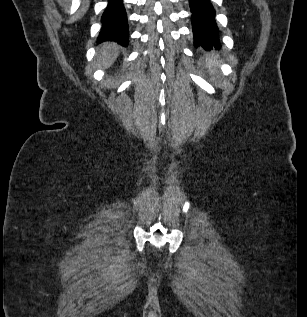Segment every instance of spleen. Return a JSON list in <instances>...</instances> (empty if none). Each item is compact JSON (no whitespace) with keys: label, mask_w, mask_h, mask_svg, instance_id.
Here are the masks:
<instances>
[{"label":"spleen","mask_w":307,"mask_h":317,"mask_svg":"<svg viewBox=\"0 0 307 317\" xmlns=\"http://www.w3.org/2000/svg\"><path fill=\"white\" fill-rule=\"evenodd\" d=\"M217 64L218 62L216 55H211L207 57V67L211 73H215Z\"/></svg>","instance_id":"obj_1"}]
</instances>
